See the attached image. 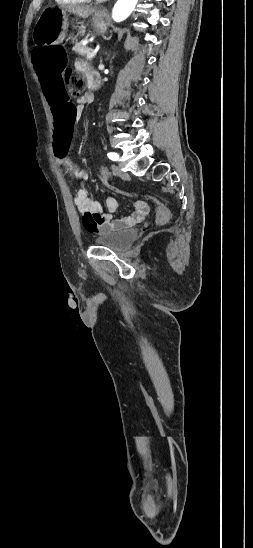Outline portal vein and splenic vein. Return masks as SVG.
<instances>
[{
	"label": "portal vein and splenic vein",
	"mask_w": 253,
	"mask_h": 548,
	"mask_svg": "<svg viewBox=\"0 0 253 548\" xmlns=\"http://www.w3.org/2000/svg\"><path fill=\"white\" fill-rule=\"evenodd\" d=\"M97 53V50H92L89 52V54L86 56L87 59H92Z\"/></svg>",
	"instance_id": "obj_1"
}]
</instances>
